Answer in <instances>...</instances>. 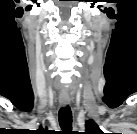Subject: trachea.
I'll return each mask as SVG.
<instances>
[{"label": "trachea", "mask_w": 137, "mask_h": 134, "mask_svg": "<svg viewBox=\"0 0 137 134\" xmlns=\"http://www.w3.org/2000/svg\"><path fill=\"white\" fill-rule=\"evenodd\" d=\"M58 119L60 127L64 132L72 130V112L68 105L59 110Z\"/></svg>", "instance_id": "obj_1"}]
</instances>
